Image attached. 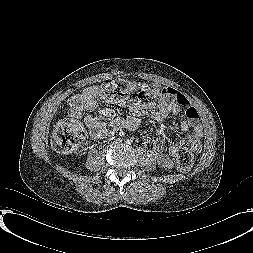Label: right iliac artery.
Returning <instances> with one entry per match:
<instances>
[{"mask_svg":"<svg viewBox=\"0 0 253 253\" xmlns=\"http://www.w3.org/2000/svg\"><path fill=\"white\" fill-rule=\"evenodd\" d=\"M117 141L121 142V141H122V139H121V138H118V139H117Z\"/></svg>","mask_w":253,"mask_h":253,"instance_id":"82829eb1","label":"right iliac artery"}]
</instances>
